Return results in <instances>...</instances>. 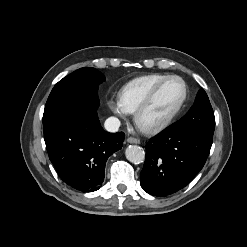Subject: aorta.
Listing matches in <instances>:
<instances>
[{"label":"aorta","instance_id":"obj_1","mask_svg":"<svg viewBox=\"0 0 247 247\" xmlns=\"http://www.w3.org/2000/svg\"><path fill=\"white\" fill-rule=\"evenodd\" d=\"M125 155L128 161L134 164H140L145 159V153L140 146L131 145L127 147Z\"/></svg>","mask_w":247,"mask_h":247}]
</instances>
